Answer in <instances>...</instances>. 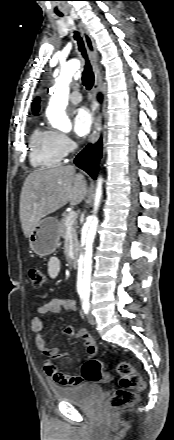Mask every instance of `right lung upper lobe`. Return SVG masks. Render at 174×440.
I'll list each match as a JSON object with an SVG mask.
<instances>
[{
	"mask_svg": "<svg viewBox=\"0 0 174 440\" xmlns=\"http://www.w3.org/2000/svg\"><path fill=\"white\" fill-rule=\"evenodd\" d=\"M39 102H40V100H39V98H37L34 100V103H33V112L35 115H37V111L39 110V106H38Z\"/></svg>",
	"mask_w": 174,
	"mask_h": 440,
	"instance_id": "cb5924a9",
	"label": "right lung upper lobe"
}]
</instances>
